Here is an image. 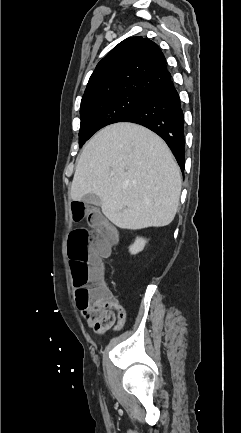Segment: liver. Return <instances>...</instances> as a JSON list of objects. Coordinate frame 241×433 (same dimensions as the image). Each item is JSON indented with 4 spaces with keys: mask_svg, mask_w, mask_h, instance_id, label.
Instances as JSON below:
<instances>
[{
    "mask_svg": "<svg viewBox=\"0 0 241 433\" xmlns=\"http://www.w3.org/2000/svg\"><path fill=\"white\" fill-rule=\"evenodd\" d=\"M182 177L166 143L128 122L96 133L80 154L70 196L97 195L103 214L122 229L169 225L177 212Z\"/></svg>",
    "mask_w": 241,
    "mask_h": 433,
    "instance_id": "6515ba94",
    "label": "liver"
}]
</instances>
